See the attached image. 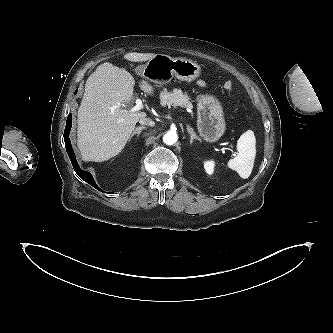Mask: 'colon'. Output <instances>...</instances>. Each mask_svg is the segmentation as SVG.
<instances>
[{"label": "colon", "instance_id": "5ec220e1", "mask_svg": "<svg viewBox=\"0 0 333 333\" xmlns=\"http://www.w3.org/2000/svg\"><path fill=\"white\" fill-rule=\"evenodd\" d=\"M224 88L228 91H232L233 89V84L231 81H226L225 84H224Z\"/></svg>", "mask_w": 333, "mask_h": 333}]
</instances>
